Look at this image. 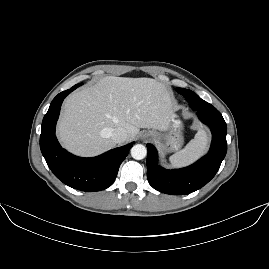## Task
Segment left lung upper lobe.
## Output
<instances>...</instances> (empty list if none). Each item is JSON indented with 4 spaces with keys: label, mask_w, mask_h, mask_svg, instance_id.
I'll list each match as a JSON object with an SVG mask.
<instances>
[{
    "label": "left lung upper lobe",
    "mask_w": 269,
    "mask_h": 269,
    "mask_svg": "<svg viewBox=\"0 0 269 269\" xmlns=\"http://www.w3.org/2000/svg\"><path fill=\"white\" fill-rule=\"evenodd\" d=\"M176 91L182 94L186 100L189 102L191 108L193 109H210L213 106L206 101L202 100L197 94L192 92L191 90L177 88Z\"/></svg>",
    "instance_id": "1"
}]
</instances>
